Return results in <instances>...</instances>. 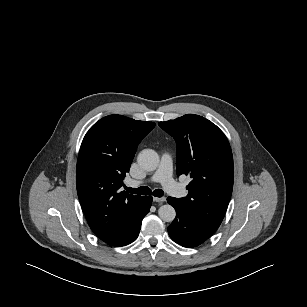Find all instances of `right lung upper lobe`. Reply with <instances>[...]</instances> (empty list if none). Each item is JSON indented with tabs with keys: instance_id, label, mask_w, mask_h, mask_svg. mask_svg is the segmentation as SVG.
<instances>
[{
	"instance_id": "1",
	"label": "right lung upper lobe",
	"mask_w": 307,
	"mask_h": 307,
	"mask_svg": "<svg viewBox=\"0 0 307 307\" xmlns=\"http://www.w3.org/2000/svg\"><path fill=\"white\" fill-rule=\"evenodd\" d=\"M155 127L122 115H109L85 135L78 155L77 193L92 231L113 246L133 235L145 210V196L121 191L140 141Z\"/></svg>"
}]
</instances>
